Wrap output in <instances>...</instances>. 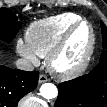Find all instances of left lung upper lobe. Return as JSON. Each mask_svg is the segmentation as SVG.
<instances>
[{
	"instance_id": "left-lung-upper-lobe-1",
	"label": "left lung upper lobe",
	"mask_w": 107,
	"mask_h": 107,
	"mask_svg": "<svg viewBox=\"0 0 107 107\" xmlns=\"http://www.w3.org/2000/svg\"><path fill=\"white\" fill-rule=\"evenodd\" d=\"M101 27H102V35H103V49H104L102 53L106 55V61H107V27L103 22L101 23Z\"/></svg>"
}]
</instances>
